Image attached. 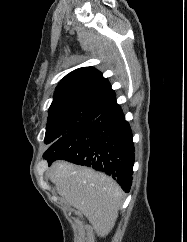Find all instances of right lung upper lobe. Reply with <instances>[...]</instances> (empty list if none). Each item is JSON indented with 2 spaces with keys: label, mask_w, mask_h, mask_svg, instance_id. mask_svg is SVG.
Listing matches in <instances>:
<instances>
[{
  "label": "right lung upper lobe",
  "mask_w": 187,
  "mask_h": 242,
  "mask_svg": "<svg viewBox=\"0 0 187 242\" xmlns=\"http://www.w3.org/2000/svg\"><path fill=\"white\" fill-rule=\"evenodd\" d=\"M115 102V92L102 73L93 67H82L70 72L61 80L55 90L50 109L77 104L105 109Z\"/></svg>",
  "instance_id": "right-lung-upper-lobe-1"
}]
</instances>
